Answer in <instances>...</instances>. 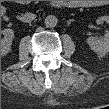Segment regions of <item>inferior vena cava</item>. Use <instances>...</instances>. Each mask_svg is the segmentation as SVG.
Returning a JSON list of instances; mask_svg holds the SVG:
<instances>
[{
	"label": "inferior vena cava",
	"mask_w": 109,
	"mask_h": 109,
	"mask_svg": "<svg viewBox=\"0 0 109 109\" xmlns=\"http://www.w3.org/2000/svg\"><path fill=\"white\" fill-rule=\"evenodd\" d=\"M36 18V15L33 14V13H25L23 15V17L21 18V20L23 22H26V23H30L31 21H33L34 19Z\"/></svg>",
	"instance_id": "1"
}]
</instances>
